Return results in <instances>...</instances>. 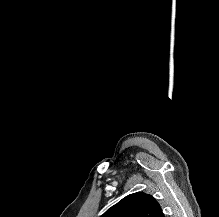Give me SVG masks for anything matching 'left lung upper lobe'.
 <instances>
[{"instance_id": "1", "label": "left lung upper lobe", "mask_w": 219, "mask_h": 217, "mask_svg": "<svg viewBox=\"0 0 219 217\" xmlns=\"http://www.w3.org/2000/svg\"><path fill=\"white\" fill-rule=\"evenodd\" d=\"M101 217H165L159 203L149 194H130Z\"/></svg>"}]
</instances>
